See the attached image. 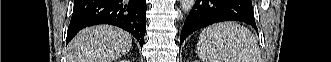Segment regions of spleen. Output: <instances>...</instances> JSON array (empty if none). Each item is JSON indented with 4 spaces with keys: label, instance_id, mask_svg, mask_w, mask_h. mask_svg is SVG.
I'll list each match as a JSON object with an SVG mask.
<instances>
[{
    "label": "spleen",
    "instance_id": "obj_1",
    "mask_svg": "<svg viewBox=\"0 0 331 62\" xmlns=\"http://www.w3.org/2000/svg\"><path fill=\"white\" fill-rule=\"evenodd\" d=\"M196 51L203 62H257L259 58L256 38L235 22L205 28L199 36Z\"/></svg>",
    "mask_w": 331,
    "mask_h": 62
}]
</instances>
